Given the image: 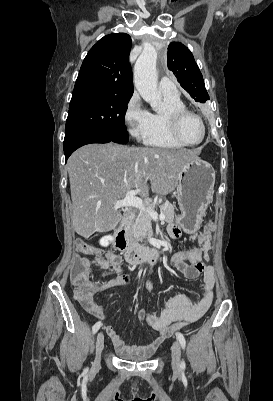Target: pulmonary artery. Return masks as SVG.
Returning a JSON list of instances; mask_svg holds the SVG:
<instances>
[{"label":"pulmonary artery","instance_id":"e3ab8cb5","mask_svg":"<svg viewBox=\"0 0 273 401\" xmlns=\"http://www.w3.org/2000/svg\"><path fill=\"white\" fill-rule=\"evenodd\" d=\"M161 92L164 95H172L177 93L176 91V83L173 80H162L160 83Z\"/></svg>","mask_w":273,"mask_h":401}]
</instances>
